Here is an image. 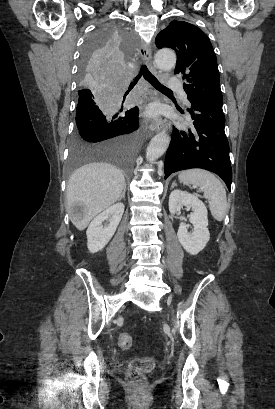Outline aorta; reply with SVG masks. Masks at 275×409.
I'll return each mask as SVG.
<instances>
[{"instance_id":"1","label":"aorta","mask_w":275,"mask_h":409,"mask_svg":"<svg viewBox=\"0 0 275 409\" xmlns=\"http://www.w3.org/2000/svg\"><path fill=\"white\" fill-rule=\"evenodd\" d=\"M154 60L161 70H170L176 64V54L174 50H169V48H162L158 50L154 56ZM170 142V136L167 134L166 130H161L158 134H155L149 142L146 150V158L153 162L159 156H162L166 152Z\"/></svg>"}]
</instances>
